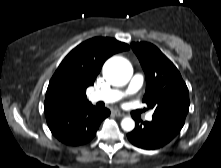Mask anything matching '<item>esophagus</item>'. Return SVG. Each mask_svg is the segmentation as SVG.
<instances>
[{"label": "esophagus", "instance_id": "obj_1", "mask_svg": "<svg viewBox=\"0 0 221 168\" xmlns=\"http://www.w3.org/2000/svg\"><path fill=\"white\" fill-rule=\"evenodd\" d=\"M113 113L117 116V117H124L125 113L121 112L120 110H114Z\"/></svg>", "mask_w": 221, "mask_h": 168}]
</instances>
